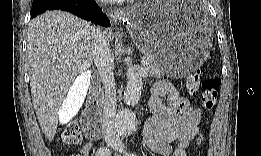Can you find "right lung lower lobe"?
I'll list each match as a JSON object with an SVG mask.
<instances>
[{"label":"right lung lower lobe","mask_w":261,"mask_h":156,"mask_svg":"<svg viewBox=\"0 0 261 156\" xmlns=\"http://www.w3.org/2000/svg\"><path fill=\"white\" fill-rule=\"evenodd\" d=\"M63 10L75 14L83 19L109 27L110 22L93 0H38L33 1L31 16L35 17L46 10Z\"/></svg>","instance_id":"right-lung-lower-lobe-1"}]
</instances>
